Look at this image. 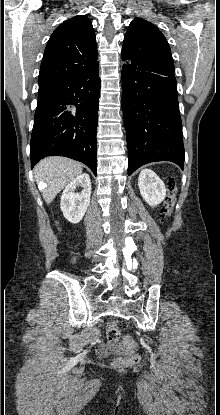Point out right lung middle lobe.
<instances>
[{"label": "right lung middle lobe", "mask_w": 220, "mask_h": 415, "mask_svg": "<svg viewBox=\"0 0 220 415\" xmlns=\"http://www.w3.org/2000/svg\"><path fill=\"white\" fill-rule=\"evenodd\" d=\"M42 89H44V88H39V91L42 90Z\"/></svg>", "instance_id": "obj_1"}]
</instances>
